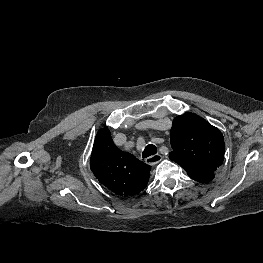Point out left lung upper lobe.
Listing matches in <instances>:
<instances>
[{
  "mask_svg": "<svg viewBox=\"0 0 263 263\" xmlns=\"http://www.w3.org/2000/svg\"><path fill=\"white\" fill-rule=\"evenodd\" d=\"M170 142L173 151L169 158L190 178H197L194 180L214 178L223 163L225 143L221 131L196 114L187 112L173 120Z\"/></svg>",
  "mask_w": 263,
  "mask_h": 263,
  "instance_id": "5c2ea615",
  "label": "left lung upper lobe"
}]
</instances>
